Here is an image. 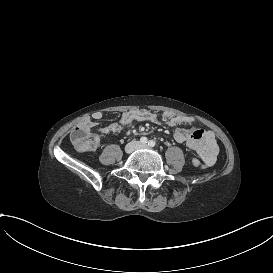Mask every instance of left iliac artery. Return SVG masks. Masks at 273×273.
Returning <instances> with one entry per match:
<instances>
[{
  "instance_id": "left-iliac-artery-1",
  "label": "left iliac artery",
  "mask_w": 273,
  "mask_h": 273,
  "mask_svg": "<svg viewBox=\"0 0 273 273\" xmlns=\"http://www.w3.org/2000/svg\"><path fill=\"white\" fill-rule=\"evenodd\" d=\"M155 141L154 140H150L149 142H148V145L150 146V147H154L155 146Z\"/></svg>"
}]
</instances>
